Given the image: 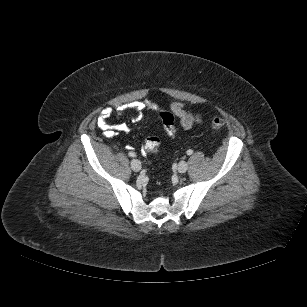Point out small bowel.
Listing matches in <instances>:
<instances>
[{
    "label": "small bowel",
    "mask_w": 307,
    "mask_h": 307,
    "mask_svg": "<svg viewBox=\"0 0 307 307\" xmlns=\"http://www.w3.org/2000/svg\"><path fill=\"white\" fill-rule=\"evenodd\" d=\"M147 109H157V106L152 102L146 101H134L127 104H123L116 108L119 114H126L129 111L135 112L132 116L134 121H140L145 116ZM172 113L179 119L180 125L183 129L189 130L196 124L201 123L202 119L199 115H196L185 109V106L181 102H173L170 106ZM113 110L109 107L104 108L96 119L97 126L102 130L103 135L107 138H112L119 133H130V127L125 123L116 125L110 124V117Z\"/></svg>",
    "instance_id": "1"
}]
</instances>
